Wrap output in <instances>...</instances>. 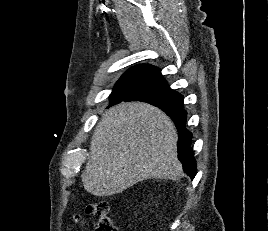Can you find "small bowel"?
Segmentation results:
<instances>
[{
    "mask_svg": "<svg viewBox=\"0 0 268 231\" xmlns=\"http://www.w3.org/2000/svg\"><path fill=\"white\" fill-rule=\"evenodd\" d=\"M85 211L87 213H90L92 211V207L91 206H86ZM73 221L78 225L83 224V218L80 215H77V214L73 216Z\"/></svg>",
    "mask_w": 268,
    "mask_h": 231,
    "instance_id": "obj_1",
    "label": "small bowel"
}]
</instances>
